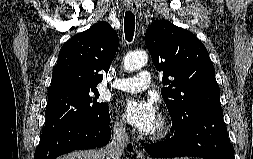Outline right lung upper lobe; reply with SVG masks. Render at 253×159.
I'll list each match as a JSON object with an SVG mask.
<instances>
[{
  "label": "right lung upper lobe",
  "instance_id": "cb5924a9",
  "mask_svg": "<svg viewBox=\"0 0 253 159\" xmlns=\"http://www.w3.org/2000/svg\"><path fill=\"white\" fill-rule=\"evenodd\" d=\"M116 31L99 22L88 30L74 35L61 48L52 75L48 98L97 90L118 49Z\"/></svg>",
  "mask_w": 253,
  "mask_h": 159
}]
</instances>
